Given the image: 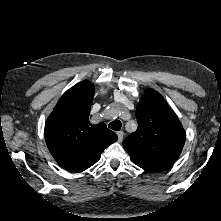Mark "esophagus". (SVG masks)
<instances>
[{
    "instance_id": "1",
    "label": "esophagus",
    "mask_w": 221,
    "mask_h": 221,
    "mask_svg": "<svg viewBox=\"0 0 221 221\" xmlns=\"http://www.w3.org/2000/svg\"><path fill=\"white\" fill-rule=\"evenodd\" d=\"M117 136H118V142L121 143L123 140L124 132L123 131L117 132Z\"/></svg>"
}]
</instances>
